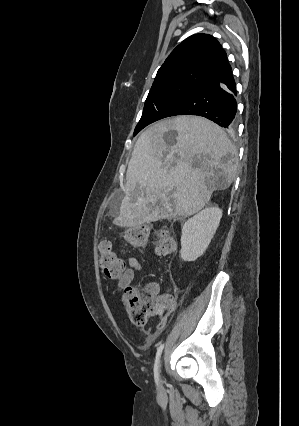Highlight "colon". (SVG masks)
I'll use <instances>...</instances> for the list:
<instances>
[{"label": "colon", "mask_w": 299, "mask_h": 426, "mask_svg": "<svg viewBox=\"0 0 299 426\" xmlns=\"http://www.w3.org/2000/svg\"><path fill=\"white\" fill-rule=\"evenodd\" d=\"M149 231L146 227H134L122 232V240L133 249H143L148 240ZM176 239L169 230L158 232L154 241V249L158 255L167 256L176 251ZM99 262L105 275L110 278L120 276L125 270L124 261L117 256L109 240L102 239L98 244ZM126 298L132 322L144 326L148 317L161 314L170 305V298L156 295L150 288L138 289L128 287Z\"/></svg>", "instance_id": "obj_1"}]
</instances>
